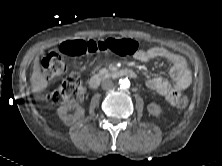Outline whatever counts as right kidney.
Returning a JSON list of instances; mask_svg holds the SVG:
<instances>
[{"instance_id":"right-kidney-1","label":"right kidney","mask_w":222,"mask_h":166,"mask_svg":"<svg viewBox=\"0 0 222 166\" xmlns=\"http://www.w3.org/2000/svg\"><path fill=\"white\" fill-rule=\"evenodd\" d=\"M71 107L72 105L67 104V105L60 106L57 109L58 116L66 125H71L75 123L77 120L81 119L85 113V110L81 106L73 105V107L76 109V112L73 115L67 114L68 108H71Z\"/></svg>"}]
</instances>
